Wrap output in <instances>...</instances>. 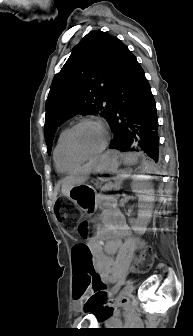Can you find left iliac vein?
Masks as SVG:
<instances>
[{
  "label": "left iliac vein",
  "instance_id": "obj_1",
  "mask_svg": "<svg viewBox=\"0 0 193 336\" xmlns=\"http://www.w3.org/2000/svg\"><path fill=\"white\" fill-rule=\"evenodd\" d=\"M115 288V287H114ZM113 288V289H114ZM113 289H112V291H111V294H115L116 292H113ZM133 290H134V285H133V283L132 282H128L126 285H125V287L123 288V290L121 291V295L122 296H128V295H130L132 292H133Z\"/></svg>",
  "mask_w": 193,
  "mask_h": 336
}]
</instances>
